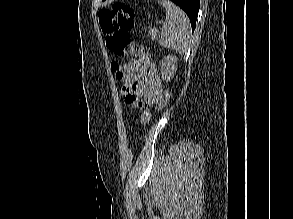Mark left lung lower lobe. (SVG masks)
<instances>
[{"label": "left lung lower lobe", "instance_id": "0a47b994", "mask_svg": "<svg viewBox=\"0 0 293 219\" xmlns=\"http://www.w3.org/2000/svg\"><path fill=\"white\" fill-rule=\"evenodd\" d=\"M176 3L180 8H182L188 15L192 31H194L196 26V20L199 11L200 0H171Z\"/></svg>", "mask_w": 293, "mask_h": 219}]
</instances>
